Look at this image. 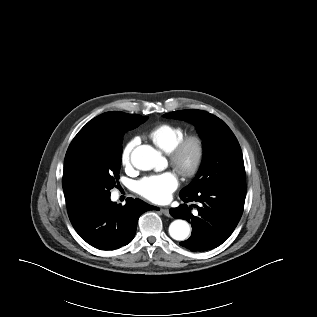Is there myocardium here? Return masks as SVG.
I'll list each match as a JSON object with an SVG mask.
<instances>
[{
  "label": "myocardium",
  "mask_w": 317,
  "mask_h": 317,
  "mask_svg": "<svg viewBox=\"0 0 317 317\" xmlns=\"http://www.w3.org/2000/svg\"><path fill=\"white\" fill-rule=\"evenodd\" d=\"M205 141L199 134L185 135L169 153L172 166L184 177H192L202 166Z\"/></svg>",
  "instance_id": "f54148a6"
}]
</instances>
